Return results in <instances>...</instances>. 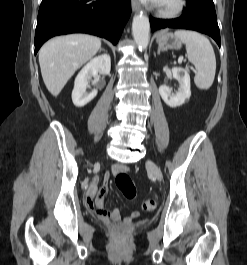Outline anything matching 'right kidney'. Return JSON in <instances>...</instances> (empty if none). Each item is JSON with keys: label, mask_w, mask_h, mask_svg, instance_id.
I'll use <instances>...</instances> for the list:
<instances>
[{"label": "right kidney", "mask_w": 247, "mask_h": 265, "mask_svg": "<svg viewBox=\"0 0 247 265\" xmlns=\"http://www.w3.org/2000/svg\"><path fill=\"white\" fill-rule=\"evenodd\" d=\"M111 70V59L108 54L99 55L88 62L78 73L74 89L72 91V101L76 107H84L97 95V89L87 91L89 80L98 73L107 75Z\"/></svg>", "instance_id": "obj_1"}]
</instances>
